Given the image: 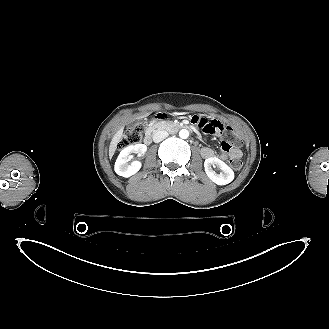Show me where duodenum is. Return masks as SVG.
<instances>
[{
    "instance_id": "1",
    "label": "duodenum",
    "mask_w": 329,
    "mask_h": 329,
    "mask_svg": "<svg viewBox=\"0 0 329 329\" xmlns=\"http://www.w3.org/2000/svg\"><path fill=\"white\" fill-rule=\"evenodd\" d=\"M160 118H163V116L161 114H159L155 117L156 120H158ZM180 127L184 128V129H189L190 128L189 125H186V124H182V125H180ZM151 142H152V131L149 130V131H147V133L144 136V143L146 145H149Z\"/></svg>"
}]
</instances>
